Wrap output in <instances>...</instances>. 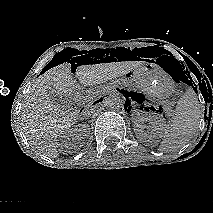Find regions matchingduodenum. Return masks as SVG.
<instances>
[{"label": "duodenum", "instance_id": "410a0bca", "mask_svg": "<svg viewBox=\"0 0 213 213\" xmlns=\"http://www.w3.org/2000/svg\"><path fill=\"white\" fill-rule=\"evenodd\" d=\"M95 105H96V102L94 101V102L88 104V105L86 106V108H94Z\"/></svg>", "mask_w": 213, "mask_h": 213}]
</instances>
